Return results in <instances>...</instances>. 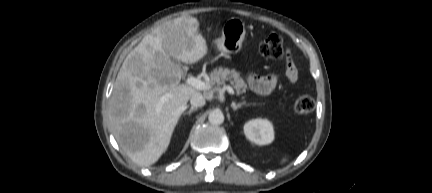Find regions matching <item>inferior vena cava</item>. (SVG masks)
Segmentation results:
<instances>
[{"mask_svg": "<svg viewBox=\"0 0 432 193\" xmlns=\"http://www.w3.org/2000/svg\"><path fill=\"white\" fill-rule=\"evenodd\" d=\"M206 103L204 96L200 92H195L190 98V104L192 107H202Z\"/></svg>", "mask_w": 432, "mask_h": 193, "instance_id": "obj_1", "label": "inferior vena cava"}]
</instances>
